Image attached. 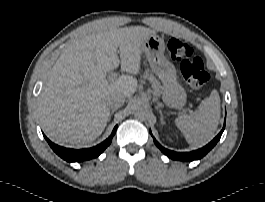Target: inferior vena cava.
<instances>
[{
  "mask_svg": "<svg viewBox=\"0 0 265 202\" xmlns=\"http://www.w3.org/2000/svg\"><path fill=\"white\" fill-rule=\"evenodd\" d=\"M126 96L122 93H112L106 98V105L112 109L120 108L125 102Z\"/></svg>",
  "mask_w": 265,
  "mask_h": 202,
  "instance_id": "inferior-vena-cava-1",
  "label": "inferior vena cava"
}]
</instances>
